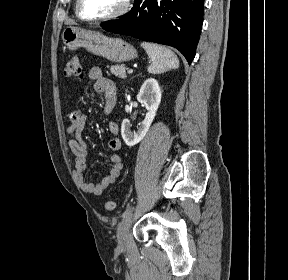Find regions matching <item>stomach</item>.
<instances>
[{
    "label": "stomach",
    "instance_id": "1",
    "mask_svg": "<svg viewBox=\"0 0 288 280\" xmlns=\"http://www.w3.org/2000/svg\"><path fill=\"white\" fill-rule=\"evenodd\" d=\"M64 45L69 50L80 47L109 61L121 63L137 57V50L121 38L107 37L98 31L79 27H66L62 33Z\"/></svg>",
    "mask_w": 288,
    "mask_h": 280
}]
</instances>
